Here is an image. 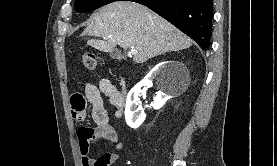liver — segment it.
Wrapping results in <instances>:
<instances>
[{"mask_svg":"<svg viewBox=\"0 0 277 166\" xmlns=\"http://www.w3.org/2000/svg\"><path fill=\"white\" fill-rule=\"evenodd\" d=\"M84 34L103 38L87 42L99 51L111 52L116 45L135 49V63H144L158 55L192 45V40L174 25L147 7L129 1L101 7L94 13Z\"/></svg>","mask_w":277,"mask_h":166,"instance_id":"liver-1","label":"liver"}]
</instances>
